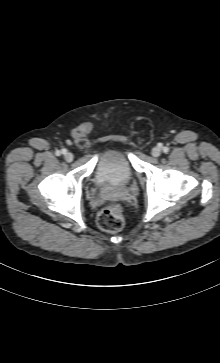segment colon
I'll use <instances>...</instances> for the list:
<instances>
[{
  "mask_svg": "<svg viewBox=\"0 0 220 363\" xmlns=\"http://www.w3.org/2000/svg\"><path fill=\"white\" fill-rule=\"evenodd\" d=\"M99 228L105 232H118L124 226L123 208L120 204L105 207L97 217Z\"/></svg>",
  "mask_w": 220,
  "mask_h": 363,
  "instance_id": "1",
  "label": "colon"
}]
</instances>
